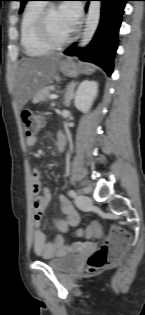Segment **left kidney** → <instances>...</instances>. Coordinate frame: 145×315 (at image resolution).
Listing matches in <instances>:
<instances>
[{
	"instance_id": "5707ae66",
	"label": "left kidney",
	"mask_w": 145,
	"mask_h": 315,
	"mask_svg": "<svg viewBox=\"0 0 145 315\" xmlns=\"http://www.w3.org/2000/svg\"><path fill=\"white\" fill-rule=\"evenodd\" d=\"M98 93V83L96 81H83L76 92L75 106L83 113H87L92 106Z\"/></svg>"
}]
</instances>
